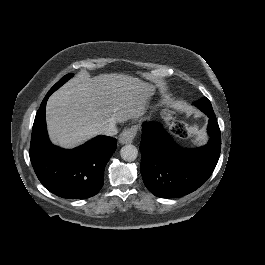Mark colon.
I'll list each match as a JSON object with an SVG mask.
<instances>
[{"instance_id":"colon-1","label":"colon","mask_w":265,"mask_h":265,"mask_svg":"<svg viewBox=\"0 0 265 265\" xmlns=\"http://www.w3.org/2000/svg\"><path fill=\"white\" fill-rule=\"evenodd\" d=\"M167 119L169 120L172 129L180 136H190L197 132L195 126H188L181 121H176L171 114H167Z\"/></svg>"}]
</instances>
